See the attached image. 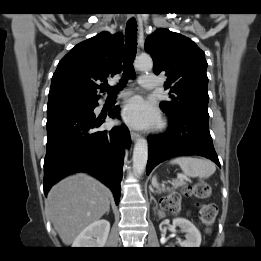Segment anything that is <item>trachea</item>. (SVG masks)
I'll use <instances>...</instances> for the list:
<instances>
[{
	"label": "trachea",
	"mask_w": 261,
	"mask_h": 261,
	"mask_svg": "<svg viewBox=\"0 0 261 261\" xmlns=\"http://www.w3.org/2000/svg\"><path fill=\"white\" fill-rule=\"evenodd\" d=\"M137 50V23L134 18L127 22L125 31V55L123 60V74L118 86H105L109 95H114L120 89L125 87L128 79L134 78L135 71L133 69V61Z\"/></svg>",
	"instance_id": "trachea-1"
}]
</instances>
